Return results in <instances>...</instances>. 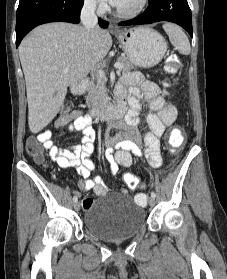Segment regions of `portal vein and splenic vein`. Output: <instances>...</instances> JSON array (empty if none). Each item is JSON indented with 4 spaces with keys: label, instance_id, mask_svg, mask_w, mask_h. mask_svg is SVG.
<instances>
[{
    "label": "portal vein and splenic vein",
    "instance_id": "portal-vein-and-splenic-vein-1",
    "mask_svg": "<svg viewBox=\"0 0 227 279\" xmlns=\"http://www.w3.org/2000/svg\"><path fill=\"white\" fill-rule=\"evenodd\" d=\"M114 67L117 69V70H121L122 69V65L119 64V63H115ZM68 70L67 69H64L63 72H67ZM98 76L99 78H104L105 77V73L103 70H98Z\"/></svg>",
    "mask_w": 227,
    "mask_h": 279
}]
</instances>
